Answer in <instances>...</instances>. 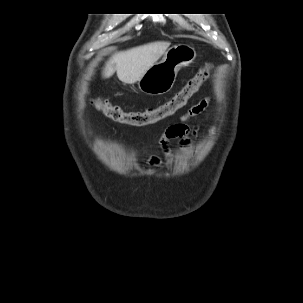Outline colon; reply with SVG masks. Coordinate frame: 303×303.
Listing matches in <instances>:
<instances>
[{"label":"colon","instance_id":"obj_1","mask_svg":"<svg viewBox=\"0 0 303 303\" xmlns=\"http://www.w3.org/2000/svg\"><path fill=\"white\" fill-rule=\"evenodd\" d=\"M209 69V65L206 64L168 101L161 105L149 107L145 110L125 111L120 106L111 104L108 100L102 98L94 99L91 103L96 110L119 124L133 127H143L154 124L172 116L184 107L208 78Z\"/></svg>","mask_w":303,"mask_h":303}]
</instances>
